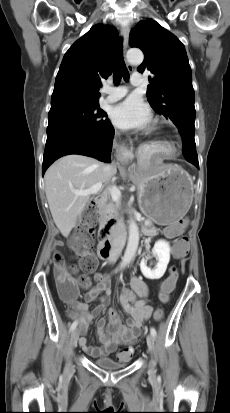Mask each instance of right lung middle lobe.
Here are the masks:
<instances>
[{"mask_svg": "<svg viewBox=\"0 0 230 413\" xmlns=\"http://www.w3.org/2000/svg\"><path fill=\"white\" fill-rule=\"evenodd\" d=\"M47 139L63 132H95L109 124L106 112L96 105H66L50 109Z\"/></svg>", "mask_w": 230, "mask_h": 413, "instance_id": "obj_1", "label": "right lung middle lobe"}]
</instances>
